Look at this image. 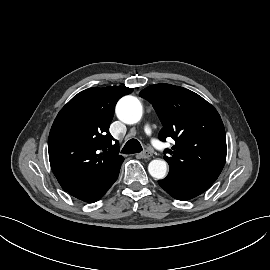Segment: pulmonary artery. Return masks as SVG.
<instances>
[{
	"mask_svg": "<svg viewBox=\"0 0 270 270\" xmlns=\"http://www.w3.org/2000/svg\"><path fill=\"white\" fill-rule=\"evenodd\" d=\"M144 130H145V133H146L147 135H151V134H152V129H151L150 124H146L145 127H144ZM153 143H154L156 146H158V143H157L156 140H153Z\"/></svg>",
	"mask_w": 270,
	"mask_h": 270,
	"instance_id": "obj_1",
	"label": "pulmonary artery"
}]
</instances>
